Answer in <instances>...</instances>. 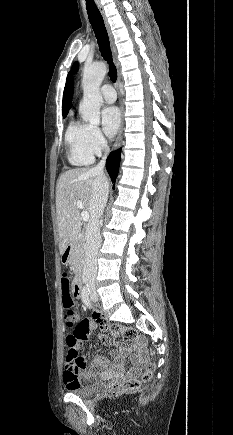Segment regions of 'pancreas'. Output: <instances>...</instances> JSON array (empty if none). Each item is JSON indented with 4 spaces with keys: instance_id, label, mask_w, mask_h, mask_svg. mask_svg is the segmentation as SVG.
<instances>
[{
    "instance_id": "cf45deb5",
    "label": "pancreas",
    "mask_w": 233,
    "mask_h": 435,
    "mask_svg": "<svg viewBox=\"0 0 233 435\" xmlns=\"http://www.w3.org/2000/svg\"><path fill=\"white\" fill-rule=\"evenodd\" d=\"M85 247L83 238L80 237L75 241L70 253L69 263L74 273H78L84 264Z\"/></svg>"
}]
</instances>
